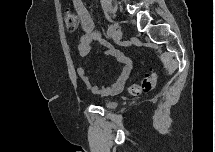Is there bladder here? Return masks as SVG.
Returning <instances> with one entry per match:
<instances>
[{"label":"bladder","instance_id":"1","mask_svg":"<svg viewBox=\"0 0 215 152\" xmlns=\"http://www.w3.org/2000/svg\"><path fill=\"white\" fill-rule=\"evenodd\" d=\"M101 105L108 111H112L116 108V103L114 101H103Z\"/></svg>","mask_w":215,"mask_h":152}]
</instances>
